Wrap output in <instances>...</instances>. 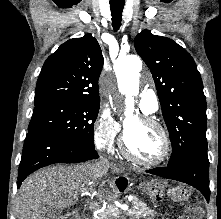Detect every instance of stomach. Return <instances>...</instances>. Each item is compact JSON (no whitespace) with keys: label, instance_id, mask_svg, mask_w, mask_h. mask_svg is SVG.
I'll return each instance as SVG.
<instances>
[{"label":"stomach","instance_id":"1","mask_svg":"<svg viewBox=\"0 0 221 219\" xmlns=\"http://www.w3.org/2000/svg\"><path fill=\"white\" fill-rule=\"evenodd\" d=\"M166 186L163 178H145L140 188L142 192L147 195V199L156 201L167 199Z\"/></svg>","mask_w":221,"mask_h":219}]
</instances>
